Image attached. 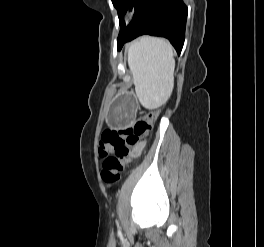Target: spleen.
Masks as SVG:
<instances>
[{
  "instance_id": "1",
  "label": "spleen",
  "mask_w": 264,
  "mask_h": 247,
  "mask_svg": "<svg viewBox=\"0 0 264 247\" xmlns=\"http://www.w3.org/2000/svg\"><path fill=\"white\" fill-rule=\"evenodd\" d=\"M128 65L141 102L164 104L174 87L175 60L170 43L141 37L128 49Z\"/></svg>"
}]
</instances>
